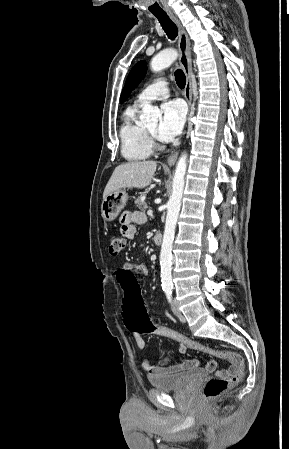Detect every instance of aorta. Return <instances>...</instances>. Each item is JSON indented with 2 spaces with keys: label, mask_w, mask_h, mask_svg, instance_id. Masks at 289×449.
Listing matches in <instances>:
<instances>
[{
  "label": "aorta",
  "mask_w": 289,
  "mask_h": 449,
  "mask_svg": "<svg viewBox=\"0 0 289 449\" xmlns=\"http://www.w3.org/2000/svg\"><path fill=\"white\" fill-rule=\"evenodd\" d=\"M178 57L175 49H165L154 56L151 60V69L159 72L170 66ZM161 116V112L157 107L150 104H144L142 108L141 121L143 123H155ZM187 169V154L183 153L175 169L172 183V194L167 203V217L163 242L160 253L161 281L164 288L172 287L171 259L172 244L174 240L175 228L181 208V199L185 185V174Z\"/></svg>",
  "instance_id": "1"
}]
</instances>
